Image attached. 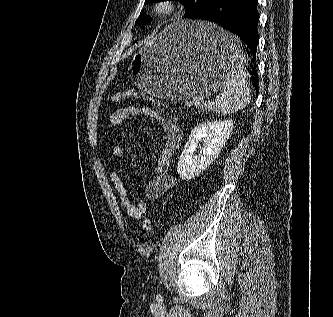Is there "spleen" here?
Masks as SVG:
<instances>
[{
    "mask_svg": "<svg viewBox=\"0 0 333 317\" xmlns=\"http://www.w3.org/2000/svg\"><path fill=\"white\" fill-rule=\"evenodd\" d=\"M219 43L229 50L230 70L212 110L219 114H229L243 109L249 104L251 91L244 66L245 58L239 49L238 38L219 28Z\"/></svg>",
    "mask_w": 333,
    "mask_h": 317,
    "instance_id": "obj_1",
    "label": "spleen"
}]
</instances>
